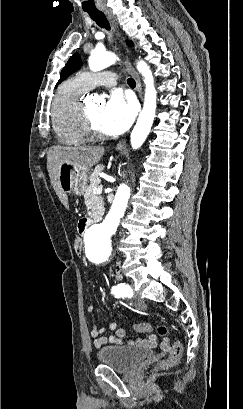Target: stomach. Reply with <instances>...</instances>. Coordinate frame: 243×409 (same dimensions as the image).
Masks as SVG:
<instances>
[{"label": "stomach", "mask_w": 243, "mask_h": 409, "mask_svg": "<svg viewBox=\"0 0 243 409\" xmlns=\"http://www.w3.org/2000/svg\"><path fill=\"white\" fill-rule=\"evenodd\" d=\"M88 170H75L71 163L63 162L59 167V186L65 194L83 195L86 191Z\"/></svg>", "instance_id": "1"}]
</instances>
